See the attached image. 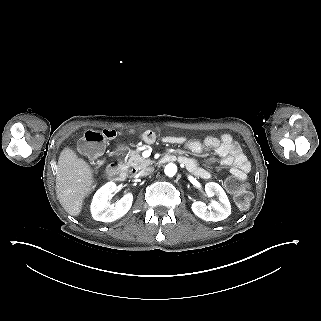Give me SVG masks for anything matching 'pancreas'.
Returning a JSON list of instances; mask_svg holds the SVG:
<instances>
[{
    "mask_svg": "<svg viewBox=\"0 0 321 321\" xmlns=\"http://www.w3.org/2000/svg\"><path fill=\"white\" fill-rule=\"evenodd\" d=\"M152 164L150 159H145L141 157L138 151H131L130 158L128 162L124 165V169H128L130 167L140 170Z\"/></svg>",
    "mask_w": 321,
    "mask_h": 321,
    "instance_id": "obj_1",
    "label": "pancreas"
}]
</instances>
